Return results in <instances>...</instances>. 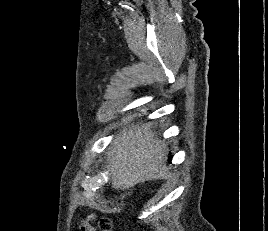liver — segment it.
<instances>
[{
  "label": "liver",
  "instance_id": "liver-1",
  "mask_svg": "<svg viewBox=\"0 0 268 231\" xmlns=\"http://www.w3.org/2000/svg\"><path fill=\"white\" fill-rule=\"evenodd\" d=\"M152 123L127 125L110 144L107 152V170L110 183L116 190L167 178L165 144L151 130Z\"/></svg>",
  "mask_w": 268,
  "mask_h": 231
}]
</instances>
